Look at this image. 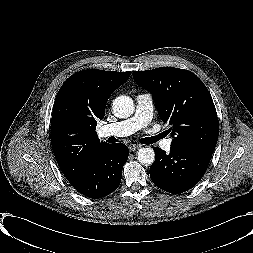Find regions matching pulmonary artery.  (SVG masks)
Listing matches in <instances>:
<instances>
[{"label": "pulmonary artery", "mask_w": 253, "mask_h": 253, "mask_svg": "<svg viewBox=\"0 0 253 253\" xmlns=\"http://www.w3.org/2000/svg\"><path fill=\"white\" fill-rule=\"evenodd\" d=\"M153 117V97L149 93L139 94L136 97V110L132 117L113 124L106 125L101 128L99 135L102 138L110 136L124 137L129 136L140 129L148 132V137L157 139L158 135L151 131V120ZM162 139V137L157 140ZM160 147L169 150L172 146V137L163 139Z\"/></svg>", "instance_id": "1"}]
</instances>
